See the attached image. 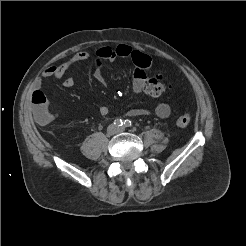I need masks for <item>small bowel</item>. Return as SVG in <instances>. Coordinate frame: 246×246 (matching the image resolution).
<instances>
[{
  "label": "small bowel",
  "instance_id": "c3829d8e",
  "mask_svg": "<svg viewBox=\"0 0 246 246\" xmlns=\"http://www.w3.org/2000/svg\"><path fill=\"white\" fill-rule=\"evenodd\" d=\"M133 48L126 44L118 45L114 48L112 47H101L99 48L95 53H90L87 51H80L72 55L70 58H68L66 61L62 62L59 65H53L46 68L42 75L38 78V80L35 83V91L40 93L45 98V104L47 108V116L44 121H39L41 124H48L56 119L59 118L60 114L56 111H54L50 106L49 103L42 92V87L44 86L46 80L48 79H61L66 72L77 63L87 61V60H94L97 68L95 70L94 76L97 81L100 83H104V77L101 72V65L104 61H113L118 58H131V54L133 52ZM147 78L146 73L139 71L138 69L134 70L133 73V90L135 93L139 94L142 93L143 90V84L145 79ZM63 84L65 87H72L74 85V79L72 76H67L63 80ZM110 113V109L107 106H101L99 108V114L101 116H107ZM150 111L147 109H132L128 112L129 116H141V115H147ZM153 113L158 116L159 118H167L171 113V108L167 103L161 102L158 103Z\"/></svg>",
  "mask_w": 246,
  "mask_h": 246
}]
</instances>
